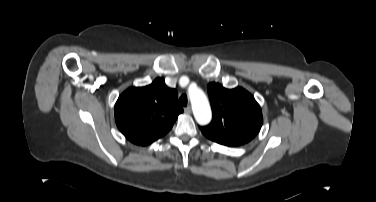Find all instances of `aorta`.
<instances>
[{
    "label": "aorta",
    "mask_w": 376,
    "mask_h": 202,
    "mask_svg": "<svg viewBox=\"0 0 376 202\" xmlns=\"http://www.w3.org/2000/svg\"><path fill=\"white\" fill-rule=\"evenodd\" d=\"M193 114L199 125H207L212 118L211 108L205 93L200 88L188 89Z\"/></svg>",
    "instance_id": "762f6f07"
}]
</instances>
